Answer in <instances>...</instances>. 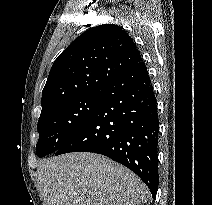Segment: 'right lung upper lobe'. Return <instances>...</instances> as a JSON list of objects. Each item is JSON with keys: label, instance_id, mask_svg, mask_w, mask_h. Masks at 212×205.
<instances>
[{"label": "right lung upper lobe", "instance_id": "cb5924a9", "mask_svg": "<svg viewBox=\"0 0 212 205\" xmlns=\"http://www.w3.org/2000/svg\"><path fill=\"white\" fill-rule=\"evenodd\" d=\"M141 60L134 41L121 27L104 24L89 29L55 60L43 89L41 114L72 98L101 91Z\"/></svg>", "mask_w": 212, "mask_h": 205}]
</instances>
